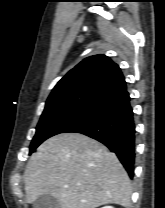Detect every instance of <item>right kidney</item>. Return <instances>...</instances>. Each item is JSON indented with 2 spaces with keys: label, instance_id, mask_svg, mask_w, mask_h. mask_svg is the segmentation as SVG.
Segmentation results:
<instances>
[{
  "label": "right kidney",
  "instance_id": "right-kidney-1",
  "mask_svg": "<svg viewBox=\"0 0 165 208\" xmlns=\"http://www.w3.org/2000/svg\"><path fill=\"white\" fill-rule=\"evenodd\" d=\"M102 208H114V207H112V206H104Z\"/></svg>",
  "mask_w": 165,
  "mask_h": 208
}]
</instances>
